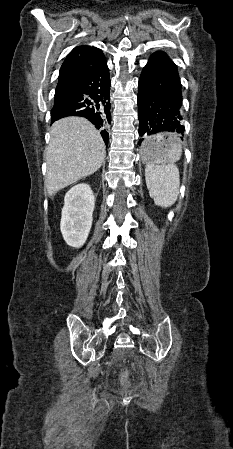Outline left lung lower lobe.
Masks as SVG:
<instances>
[{
	"label": "left lung lower lobe",
	"instance_id": "left-lung-lower-lobe-1",
	"mask_svg": "<svg viewBox=\"0 0 233 449\" xmlns=\"http://www.w3.org/2000/svg\"><path fill=\"white\" fill-rule=\"evenodd\" d=\"M181 106L177 67L165 52L157 51L143 68L138 83L139 143L160 148L173 142L175 137L165 132H184Z\"/></svg>",
	"mask_w": 233,
	"mask_h": 449
}]
</instances>
